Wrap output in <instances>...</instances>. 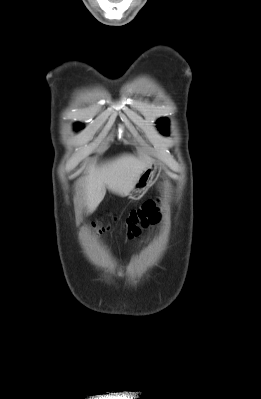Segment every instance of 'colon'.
I'll return each mask as SVG.
<instances>
[{
    "label": "colon",
    "instance_id": "1",
    "mask_svg": "<svg viewBox=\"0 0 261 399\" xmlns=\"http://www.w3.org/2000/svg\"><path fill=\"white\" fill-rule=\"evenodd\" d=\"M158 202V198L149 199L128 214L123 225L128 236H136L141 229L154 225L159 221ZM91 228L95 234H101L109 231L111 226L97 222L93 223Z\"/></svg>",
    "mask_w": 261,
    "mask_h": 399
}]
</instances>
